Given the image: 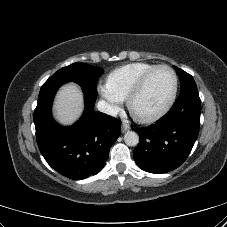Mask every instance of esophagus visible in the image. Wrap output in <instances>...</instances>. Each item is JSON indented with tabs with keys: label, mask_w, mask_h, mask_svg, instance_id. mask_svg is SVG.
Masks as SVG:
<instances>
[{
	"label": "esophagus",
	"mask_w": 227,
	"mask_h": 227,
	"mask_svg": "<svg viewBox=\"0 0 227 227\" xmlns=\"http://www.w3.org/2000/svg\"><path fill=\"white\" fill-rule=\"evenodd\" d=\"M129 130H130V126L126 123H122L121 131L124 133V132L129 131Z\"/></svg>",
	"instance_id": "obj_1"
}]
</instances>
